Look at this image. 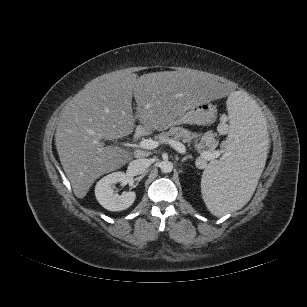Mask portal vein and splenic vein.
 I'll return each instance as SVG.
<instances>
[{
  "label": "portal vein and splenic vein",
  "instance_id": "portal-vein-and-splenic-vein-1",
  "mask_svg": "<svg viewBox=\"0 0 307 307\" xmlns=\"http://www.w3.org/2000/svg\"><path fill=\"white\" fill-rule=\"evenodd\" d=\"M170 146H172V148H174L177 152L179 153H185L186 152V147L179 141L173 140V139H169L166 141ZM160 142L157 140H153V139H143L139 142V146L142 149H147V150H151V149H155L159 146ZM220 155V153L218 151H205L203 153H201V158H204L206 160H214L216 158H218V156Z\"/></svg>",
  "mask_w": 307,
  "mask_h": 307
}]
</instances>
